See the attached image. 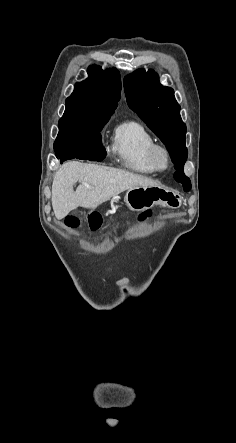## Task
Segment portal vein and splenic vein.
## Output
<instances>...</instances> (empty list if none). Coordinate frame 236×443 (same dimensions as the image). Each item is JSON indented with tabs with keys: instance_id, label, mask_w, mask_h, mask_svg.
Here are the masks:
<instances>
[{
	"instance_id": "1",
	"label": "portal vein and splenic vein",
	"mask_w": 236,
	"mask_h": 443,
	"mask_svg": "<svg viewBox=\"0 0 236 443\" xmlns=\"http://www.w3.org/2000/svg\"><path fill=\"white\" fill-rule=\"evenodd\" d=\"M84 185H85V186H86L87 188H91V186H90V185H88V184H85V183H84Z\"/></svg>"
}]
</instances>
